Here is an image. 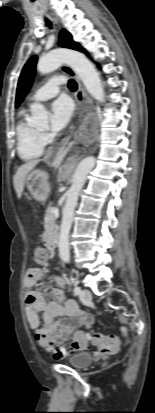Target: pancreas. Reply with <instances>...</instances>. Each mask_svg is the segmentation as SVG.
I'll return each mask as SVG.
<instances>
[{"instance_id": "pancreas-1", "label": "pancreas", "mask_w": 155, "mask_h": 413, "mask_svg": "<svg viewBox=\"0 0 155 413\" xmlns=\"http://www.w3.org/2000/svg\"><path fill=\"white\" fill-rule=\"evenodd\" d=\"M47 219H48L47 223L50 226L54 227L56 217H55L54 209L51 206H49L48 209H47Z\"/></svg>"}]
</instances>
